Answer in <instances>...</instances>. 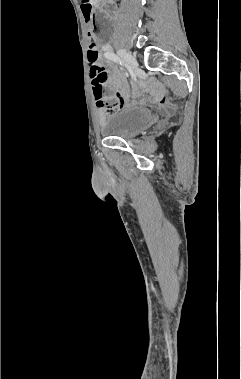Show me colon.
Listing matches in <instances>:
<instances>
[{
    "instance_id": "colon-1",
    "label": "colon",
    "mask_w": 241,
    "mask_h": 379,
    "mask_svg": "<svg viewBox=\"0 0 241 379\" xmlns=\"http://www.w3.org/2000/svg\"><path fill=\"white\" fill-rule=\"evenodd\" d=\"M81 9L86 21H92L93 10L89 0H82ZM88 59L91 64V70H88L87 75L90 82H93V91L97 100L98 106L105 114H112L119 111L122 106L117 96L111 94L104 88L106 79L105 69L97 64L99 52L95 43V30L92 28L88 31Z\"/></svg>"
}]
</instances>
